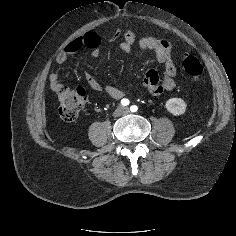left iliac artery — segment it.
Listing matches in <instances>:
<instances>
[{
	"mask_svg": "<svg viewBox=\"0 0 236 236\" xmlns=\"http://www.w3.org/2000/svg\"><path fill=\"white\" fill-rule=\"evenodd\" d=\"M137 109H138V107H137L136 105H133V106L130 107V110H131L132 112H136Z\"/></svg>",
	"mask_w": 236,
	"mask_h": 236,
	"instance_id": "1",
	"label": "left iliac artery"
}]
</instances>
